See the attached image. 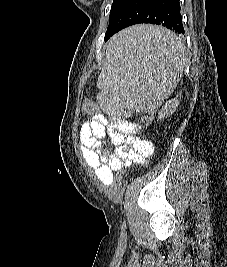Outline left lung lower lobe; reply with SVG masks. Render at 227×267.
Masks as SVG:
<instances>
[{"mask_svg":"<svg viewBox=\"0 0 227 267\" xmlns=\"http://www.w3.org/2000/svg\"><path fill=\"white\" fill-rule=\"evenodd\" d=\"M180 10L179 0H128L110 15L104 39L107 41L120 30L139 23L162 25L175 33L184 34ZM161 44L165 42L153 38H141L131 46L136 51H142Z\"/></svg>","mask_w":227,"mask_h":267,"instance_id":"left-lung-lower-lobe-1","label":"left lung lower lobe"}]
</instances>
